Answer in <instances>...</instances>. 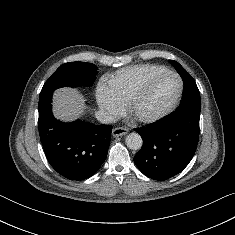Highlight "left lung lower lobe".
Instances as JSON below:
<instances>
[{"instance_id":"0a47b994","label":"left lung lower lobe","mask_w":235,"mask_h":235,"mask_svg":"<svg viewBox=\"0 0 235 235\" xmlns=\"http://www.w3.org/2000/svg\"><path fill=\"white\" fill-rule=\"evenodd\" d=\"M200 109L181 107L152 124L135 129L143 139V146L134 162L145 176L163 181L184 170L197 148Z\"/></svg>"}]
</instances>
